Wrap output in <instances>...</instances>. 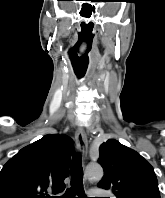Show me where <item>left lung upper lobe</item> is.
<instances>
[{
    "instance_id": "obj_1",
    "label": "left lung upper lobe",
    "mask_w": 165,
    "mask_h": 198,
    "mask_svg": "<svg viewBox=\"0 0 165 198\" xmlns=\"http://www.w3.org/2000/svg\"><path fill=\"white\" fill-rule=\"evenodd\" d=\"M99 153L105 171L100 188L116 198H160L154 169L139 153L115 139L102 143Z\"/></svg>"
}]
</instances>
